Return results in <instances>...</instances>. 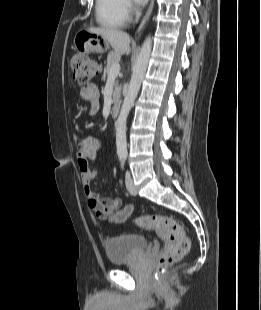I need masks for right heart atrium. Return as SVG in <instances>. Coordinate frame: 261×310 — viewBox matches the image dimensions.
I'll use <instances>...</instances> for the list:
<instances>
[{
	"label": "right heart atrium",
	"instance_id": "right-heart-atrium-1",
	"mask_svg": "<svg viewBox=\"0 0 261 310\" xmlns=\"http://www.w3.org/2000/svg\"><path fill=\"white\" fill-rule=\"evenodd\" d=\"M122 7L125 15L127 16V18H129L134 12V9L129 0H123Z\"/></svg>",
	"mask_w": 261,
	"mask_h": 310
}]
</instances>
